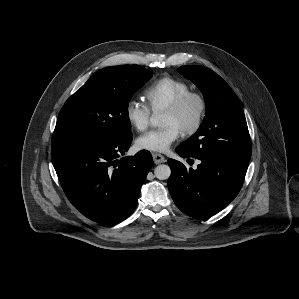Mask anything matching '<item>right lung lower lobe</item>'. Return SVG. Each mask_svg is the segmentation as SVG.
I'll list each match as a JSON object with an SVG mask.
<instances>
[{
    "mask_svg": "<svg viewBox=\"0 0 299 299\" xmlns=\"http://www.w3.org/2000/svg\"><path fill=\"white\" fill-rule=\"evenodd\" d=\"M132 137H52L51 159L66 196L95 222L119 223L137 205L153 159L147 150L118 159L129 149Z\"/></svg>",
    "mask_w": 299,
    "mask_h": 299,
    "instance_id": "obj_1",
    "label": "right lung lower lobe"
}]
</instances>
